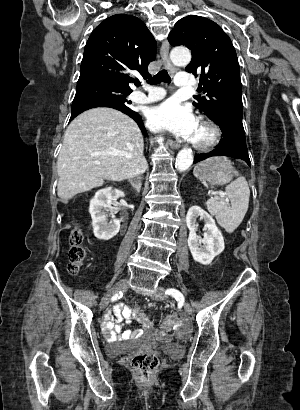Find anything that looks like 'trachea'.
<instances>
[{
    "label": "trachea",
    "mask_w": 300,
    "mask_h": 410,
    "mask_svg": "<svg viewBox=\"0 0 300 410\" xmlns=\"http://www.w3.org/2000/svg\"><path fill=\"white\" fill-rule=\"evenodd\" d=\"M161 82L168 83V84L171 82V78L165 69L159 71L154 77L147 80V83L150 85H157ZM135 85L140 86L141 82L136 81Z\"/></svg>",
    "instance_id": "obj_1"
}]
</instances>
